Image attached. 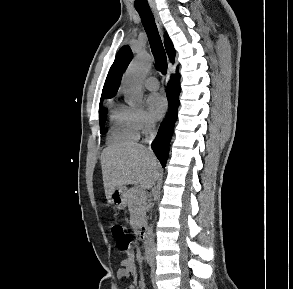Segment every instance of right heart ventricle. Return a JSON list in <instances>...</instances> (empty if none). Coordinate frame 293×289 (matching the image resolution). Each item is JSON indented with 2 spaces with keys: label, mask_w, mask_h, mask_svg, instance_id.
I'll use <instances>...</instances> for the list:
<instances>
[{
  "label": "right heart ventricle",
  "mask_w": 293,
  "mask_h": 289,
  "mask_svg": "<svg viewBox=\"0 0 293 289\" xmlns=\"http://www.w3.org/2000/svg\"><path fill=\"white\" fill-rule=\"evenodd\" d=\"M108 107L110 122L109 142L122 143L136 140L139 132L134 121L133 109L113 101L109 102Z\"/></svg>",
  "instance_id": "1"
}]
</instances>
